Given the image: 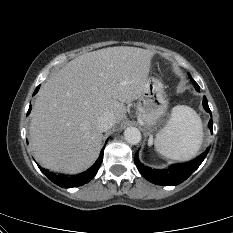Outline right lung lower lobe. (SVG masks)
<instances>
[{"mask_svg": "<svg viewBox=\"0 0 233 233\" xmlns=\"http://www.w3.org/2000/svg\"><path fill=\"white\" fill-rule=\"evenodd\" d=\"M39 87L40 86H38L36 88L34 94H36L38 92ZM30 111H31V106L29 107L27 114H29ZM102 159H103V149L101 151V154H100L98 160L89 170H87L81 174H78L76 176H71V177H65L62 175H55L52 172H49L45 169H42L41 167H39V168L52 182H54L58 186L63 187V188H71V187L81 186V185L89 182L91 179H93L94 176L96 175L101 163H102Z\"/></svg>", "mask_w": 233, "mask_h": 233, "instance_id": "right-lung-lower-lobe-1", "label": "right lung lower lobe"}]
</instances>
